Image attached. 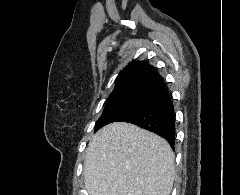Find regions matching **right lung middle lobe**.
<instances>
[{
  "mask_svg": "<svg viewBox=\"0 0 240 195\" xmlns=\"http://www.w3.org/2000/svg\"><path fill=\"white\" fill-rule=\"evenodd\" d=\"M146 95L141 93L110 95L101 117L96 122L95 131L109 123L118 121L137 108L144 101Z\"/></svg>",
  "mask_w": 240,
  "mask_h": 195,
  "instance_id": "right-lung-middle-lobe-1",
  "label": "right lung middle lobe"
}]
</instances>
